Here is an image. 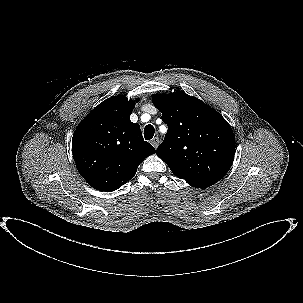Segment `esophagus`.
Wrapping results in <instances>:
<instances>
[{
  "mask_svg": "<svg viewBox=\"0 0 303 303\" xmlns=\"http://www.w3.org/2000/svg\"><path fill=\"white\" fill-rule=\"evenodd\" d=\"M159 138L158 137H154L152 140H151V144L154 148H157L158 145H159Z\"/></svg>",
  "mask_w": 303,
  "mask_h": 303,
  "instance_id": "34e87169",
  "label": "esophagus"
}]
</instances>
